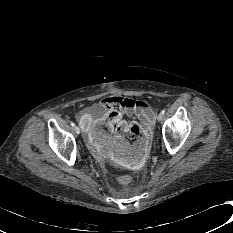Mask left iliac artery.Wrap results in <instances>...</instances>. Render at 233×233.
Returning <instances> with one entry per match:
<instances>
[{
  "instance_id": "left-iliac-artery-1",
  "label": "left iliac artery",
  "mask_w": 233,
  "mask_h": 233,
  "mask_svg": "<svg viewBox=\"0 0 233 233\" xmlns=\"http://www.w3.org/2000/svg\"><path fill=\"white\" fill-rule=\"evenodd\" d=\"M161 114L164 115V114H165V110H162V111H161Z\"/></svg>"
}]
</instances>
